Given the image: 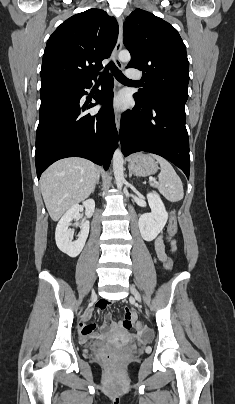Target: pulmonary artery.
Returning a JSON list of instances; mask_svg holds the SVG:
<instances>
[{"instance_id":"obj_1","label":"pulmonary artery","mask_w":235,"mask_h":404,"mask_svg":"<svg viewBox=\"0 0 235 404\" xmlns=\"http://www.w3.org/2000/svg\"><path fill=\"white\" fill-rule=\"evenodd\" d=\"M127 76L132 80H138L141 77V73L134 68H130L127 70Z\"/></svg>"}]
</instances>
